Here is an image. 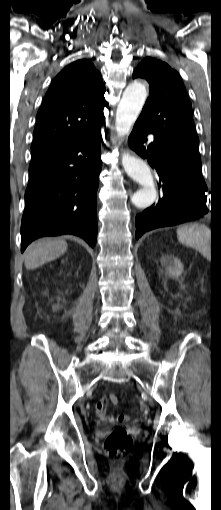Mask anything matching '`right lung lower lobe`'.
<instances>
[{
	"label": "right lung lower lobe",
	"instance_id": "98d812e1",
	"mask_svg": "<svg viewBox=\"0 0 221 510\" xmlns=\"http://www.w3.org/2000/svg\"><path fill=\"white\" fill-rule=\"evenodd\" d=\"M101 123L66 142L32 153L21 252L44 236L73 234L91 247L97 240V189Z\"/></svg>",
	"mask_w": 221,
	"mask_h": 510
}]
</instances>
